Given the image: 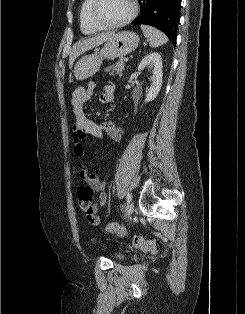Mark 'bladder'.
<instances>
[{
    "mask_svg": "<svg viewBox=\"0 0 245 314\" xmlns=\"http://www.w3.org/2000/svg\"><path fill=\"white\" fill-rule=\"evenodd\" d=\"M123 257H124V255L121 253L116 254V258L119 260L123 259Z\"/></svg>",
    "mask_w": 245,
    "mask_h": 314,
    "instance_id": "obj_1",
    "label": "bladder"
}]
</instances>
